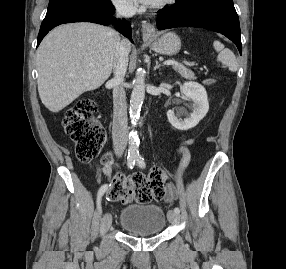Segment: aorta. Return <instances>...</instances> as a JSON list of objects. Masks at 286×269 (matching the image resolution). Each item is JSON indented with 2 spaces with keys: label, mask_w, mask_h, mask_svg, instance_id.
I'll list each match as a JSON object with an SVG mask.
<instances>
[{
  "label": "aorta",
  "mask_w": 286,
  "mask_h": 269,
  "mask_svg": "<svg viewBox=\"0 0 286 269\" xmlns=\"http://www.w3.org/2000/svg\"><path fill=\"white\" fill-rule=\"evenodd\" d=\"M145 98V75L142 72L137 73L134 80V87L130 98V118L132 123H136L140 116L141 107ZM128 155L137 157L139 155V137L136 132L129 136Z\"/></svg>",
  "instance_id": "obj_1"
}]
</instances>
